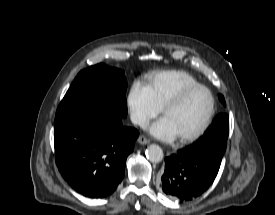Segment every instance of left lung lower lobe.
Returning <instances> with one entry per match:
<instances>
[{"instance_id": "left-lung-lower-lobe-1", "label": "left lung lower lobe", "mask_w": 275, "mask_h": 215, "mask_svg": "<svg viewBox=\"0 0 275 215\" xmlns=\"http://www.w3.org/2000/svg\"><path fill=\"white\" fill-rule=\"evenodd\" d=\"M220 164L204 157L179 150L165 158V168L159 180L162 191L171 199L190 201L204 193L213 183Z\"/></svg>"}]
</instances>
